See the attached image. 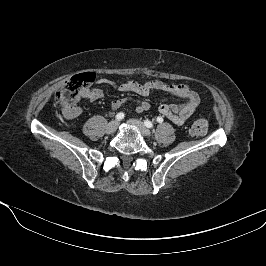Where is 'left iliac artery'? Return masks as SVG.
<instances>
[{"mask_svg":"<svg viewBox=\"0 0 266 266\" xmlns=\"http://www.w3.org/2000/svg\"><path fill=\"white\" fill-rule=\"evenodd\" d=\"M157 122L159 123H162L163 122V118L162 117H158L157 118ZM144 125L147 127V128H152L153 127V123L149 120H145L144 121Z\"/></svg>","mask_w":266,"mask_h":266,"instance_id":"44dca946","label":"left iliac artery"}]
</instances>
